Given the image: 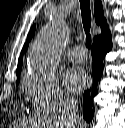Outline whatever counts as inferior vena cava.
I'll list each match as a JSON object with an SVG mask.
<instances>
[{"instance_id":"obj_1","label":"inferior vena cava","mask_w":125,"mask_h":128,"mask_svg":"<svg viewBox=\"0 0 125 128\" xmlns=\"http://www.w3.org/2000/svg\"><path fill=\"white\" fill-rule=\"evenodd\" d=\"M78 107L75 104L67 105L63 123H67V128H79L81 125V119L77 115Z\"/></svg>"}]
</instances>
